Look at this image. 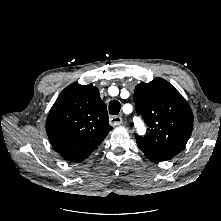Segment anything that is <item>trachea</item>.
Returning a JSON list of instances; mask_svg holds the SVG:
<instances>
[{
  "instance_id": "1",
  "label": "trachea",
  "mask_w": 221,
  "mask_h": 221,
  "mask_svg": "<svg viewBox=\"0 0 221 221\" xmlns=\"http://www.w3.org/2000/svg\"><path fill=\"white\" fill-rule=\"evenodd\" d=\"M121 109V104L118 100H112L109 103V113L111 115H118Z\"/></svg>"
}]
</instances>
